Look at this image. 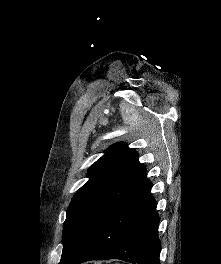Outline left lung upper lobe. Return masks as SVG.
I'll use <instances>...</instances> for the list:
<instances>
[{
    "label": "left lung upper lobe",
    "mask_w": 221,
    "mask_h": 264,
    "mask_svg": "<svg viewBox=\"0 0 221 264\" xmlns=\"http://www.w3.org/2000/svg\"><path fill=\"white\" fill-rule=\"evenodd\" d=\"M89 180L76 192L63 227L67 256L88 233L146 178L138 154L126 143H116L88 170Z\"/></svg>",
    "instance_id": "obj_1"
}]
</instances>
